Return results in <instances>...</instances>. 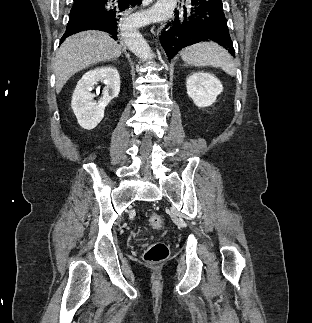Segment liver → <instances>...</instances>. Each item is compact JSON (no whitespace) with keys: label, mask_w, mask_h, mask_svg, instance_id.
Segmentation results:
<instances>
[{"label":"liver","mask_w":312,"mask_h":323,"mask_svg":"<svg viewBox=\"0 0 312 323\" xmlns=\"http://www.w3.org/2000/svg\"><path fill=\"white\" fill-rule=\"evenodd\" d=\"M121 56V46L110 34L87 30L69 36L58 50L55 60V88L57 94L71 76L98 62H110Z\"/></svg>","instance_id":"6515ba94"}]
</instances>
